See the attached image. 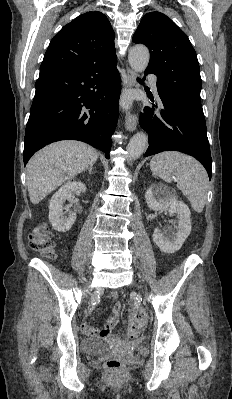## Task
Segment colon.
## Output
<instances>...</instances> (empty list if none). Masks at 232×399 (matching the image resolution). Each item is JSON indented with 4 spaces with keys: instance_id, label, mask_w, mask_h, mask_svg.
Listing matches in <instances>:
<instances>
[{
    "instance_id": "obj_1",
    "label": "colon",
    "mask_w": 232,
    "mask_h": 399,
    "mask_svg": "<svg viewBox=\"0 0 232 399\" xmlns=\"http://www.w3.org/2000/svg\"><path fill=\"white\" fill-rule=\"evenodd\" d=\"M37 228H50V223H37ZM30 249H38L42 257L54 260L58 256L57 249L51 245V241L46 237L42 229H37L33 233V238H29ZM130 321L127 326L131 328V336L137 337L138 331L142 330L143 325L147 324V314L145 308H132L129 315ZM110 346V353H136L137 348L133 346L132 340H113ZM105 368H109V374H124L126 361L124 355H107Z\"/></svg>"
}]
</instances>
